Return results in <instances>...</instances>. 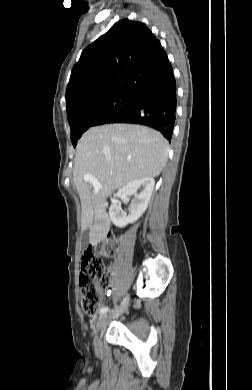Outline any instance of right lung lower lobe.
Segmentation results:
<instances>
[{
  "label": "right lung lower lobe",
  "mask_w": 252,
  "mask_h": 390,
  "mask_svg": "<svg viewBox=\"0 0 252 390\" xmlns=\"http://www.w3.org/2000/svg\"><path fill=\"white\" fill-rule=\"evenodd\" d=\"M176 82L173 73L143 85L132 105L106 123H133L159 130L169 141L176 119Z\"/></svg>",
  "instance_id": "1"
}]
</instances>
